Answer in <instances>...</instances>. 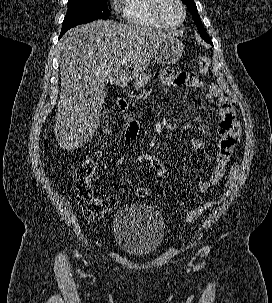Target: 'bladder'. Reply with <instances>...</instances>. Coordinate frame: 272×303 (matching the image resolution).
Segmentation results:
<instances>
[{"label":"bladder","mask_w":272,"mask_h":303,"mask_svg":"<svg viewBox=\"0 0 272 303\" xmlns=\"http://www.w3.org/2000/svg\"><path fill=\"white\" fill-rule=\"evenodd\" d=\"M112 230L118 247L125 254L145 257L161 246L165 222L156 208L143 203H129L116 212Z\"/></svg>","instance_id":"1"}]
</instances>
